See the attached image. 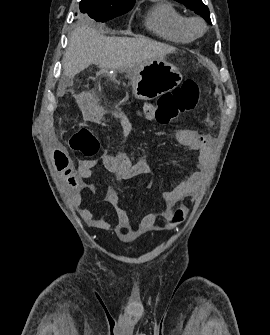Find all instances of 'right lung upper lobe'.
<instances>
[{
  "instance_id": "obj_1",
  "label": "right lung upper lobe",
  "mask_w": 270,
  "mask_h": 335,
  "mask_svg": "<svg viewBox=\"0 0 270 335\" xmlns=\"http://www.w3.org/2000/svg\"><path fill=\"white\" fill-rule=\"evenodd\" d=\"M102 5H116V4H128L135 3V0H96Z\"/></svg>"
}]
</instances>
